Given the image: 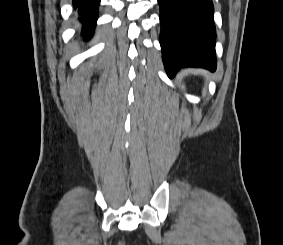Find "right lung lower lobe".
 I'll return each instance as SVG.
<instances>
[{
    "instance_id": "98d812e1",
    "label": "right lung lower lobe",
    "mask_w": 283,
    "mask_h": 245,
    "mask_svg": "<svg viewBox=\"0 0 283 245\" xmlns=\"http://www.w3.org/2000/svg\"><path fill=\"white\" fill-rule=\"evenodd\" d=\"M100 0H73V6L77 9L79 21L82 24V33L91 36L97 19V9Z\"/></svg>"
}]
</instances>
